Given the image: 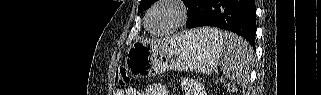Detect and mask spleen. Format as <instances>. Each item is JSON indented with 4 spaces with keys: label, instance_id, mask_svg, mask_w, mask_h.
Wrapping results in <instances>:
<instances>
[{
    "label": "spleen",
    "instance_id": "1",
    "mask_svg": "<svg viewBox=\"0 0 321 95\" xmlns=\"http://www.w3.org/2000/svg\"><path fill=\"white\" fill-rule=\"evenodd\" d=\"M208 37L222 43L224 58L221 62L223 74L239 85L247 83L253 61V49L249 42L231 32L215 28L200 29Z\"/></svg>",
    "mask_w": 321,
    "mask_h": 95
}]
</instances>
